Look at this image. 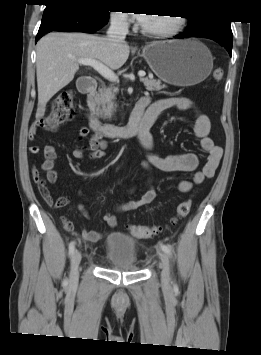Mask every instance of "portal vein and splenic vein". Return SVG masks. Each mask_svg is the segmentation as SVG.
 Returning a JSON list of instances; mask_svg holds the SVG:
<instances>
[{
    "instance_id": "obj_1",
    "label": "portal vein and splenic vein",
    "mask_w": 261,
    "mask_h": 355,
    "mask_svg": "<svg viewBox=\"0 0 261 355\" xmlns=\"http://www.w3.org/2000/svg\"><path fill=\"white\" fill-rule=\"evenodd\" d=\"M78 64L90 66L93 69H95L100 75H102L105 79L111 81V82H116L118 81V77L116 74L109 69L107 66H105L103 63L96 59H84L80 58L76 60ZM145 72L144 71H139L138 76L143 79L145 77Z\"/></svg>"
}]
</instances>
